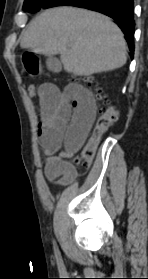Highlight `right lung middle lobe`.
<instances>
[{"label": "right lung middle lobe", "instance_id": "1", "mask_svg": "<svg viewBox=\"0 0 148 279\" xmlns=\"http://www.w3.org/2000/svg\"><path fill=\"white\" fill-rule=\"evenodd\" d=\"M48 1L49 0H25L23 9L27 12L34 13L43 8Z\"/></svg>", "mask_w": 148, "mask_h": 279}]
</instances>
